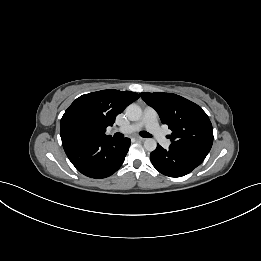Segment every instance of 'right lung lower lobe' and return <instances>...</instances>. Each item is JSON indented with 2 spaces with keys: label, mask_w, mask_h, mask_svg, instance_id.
<instances>
[{
  "label": "right lung lower lobe",
  "mask_w": 261,
  "mask_h": 261,
  "mask_svg": "<svg viewBox=\"0 0 261 261\" xmlns=\"http://www.w3.org/2000/svg\"><path fill=\"white\" fill-rule=\"evenodd\" d=\"M69 160L90 178H106L122 165L130 147L129 138L114 140L111 136L62 139Z\"/></svg>",
  "instance_id": "98d812e1"
}]
</instances>
